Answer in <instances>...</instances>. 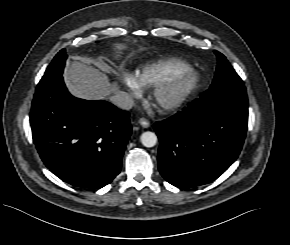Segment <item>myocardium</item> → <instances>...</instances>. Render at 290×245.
<instances>
[{"mask_svg": "<svg viewBox=\"0 0 290 245\" xmlns=\"http://www.w3.org/2000/svg\"><path fill=\"white\" fill-rule=\"evenodd\" d=\"M201 84L193 68L167 75L151 87V99L163 112H173L185 105ZM171 93L170 97L166 95Z\"/></svg>", "mask_w": 290, "mask_h": 245, "instance_id": "1", "label": "myocardium"}]
</instances>
